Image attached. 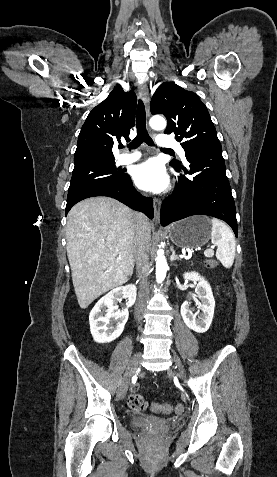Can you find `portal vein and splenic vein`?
<instances>
[{
  "mask_svg": "<svg viewBox=\"0 0 277 477\" xmlns=\"http://www.w3.org/2000/svg\"><path fill=\"white\" fill-rule=\"evenodd\" d=\"M213 247H211V249H207L205 250L204 254L205 256H212L213 255V250H212ZM187 258V257H185Z\"/></svg>",
  "mask_w": 277,
  "mask_h": 477,
  "instance_id": "18ae733b",
  "label": "portal vein and splenic vein"
}]
</instances>
